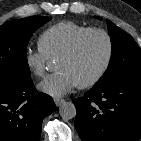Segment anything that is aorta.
I'll return each instance as SVG.
<instances>
[{
	"label": "aorta",
	"instance_id": "1",
	"mask_svg": "<svg viewBox=\"0 0 141 141\" xmlns=\"http://www.w3.org/2000/svg\"><path fill=\"white\" fill-rule=\"evenodd\" d=\"M63 120H70L76 116V107L72 102H64L59 108Z\"/></svg>",
	"mask_w": 141,
	"mask_h": 141
}]
</instances>
